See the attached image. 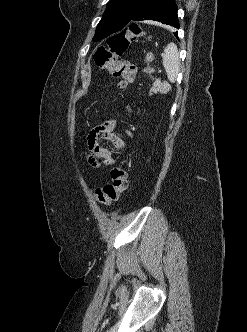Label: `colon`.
<instances>
[{
	"label": "colon",
	"instance_id": "1",
	"mask_svg": "<svg viewBox=\"0 0 247 332\" xmlns=\"http://www.w3.org/2000/svg\"><path fill=\"white\" fill-rule=\"evenodd\" d=\"M137 39H142L145 42L148 40V37L138 25L131 24L127 29L113 35L108 40L107 46L98 48L94 54V60L98 67L121 79L119 87H126L136 78V67L128 61L121 60L120 57L126 52L130 42ZM151 61V53L145 51L143 53L144 67L142 73L148 80L151 79L153 72L150 65ZM127 112L133 114L135 107L132 105L128 106ZM110 176L111 183L93 190L94 198L105 205L118 201L128 187V175L122 163L112 168Z\"/></svg>",
	"mask_w": 247,
	"mask_h": 332
}]
</instances>
